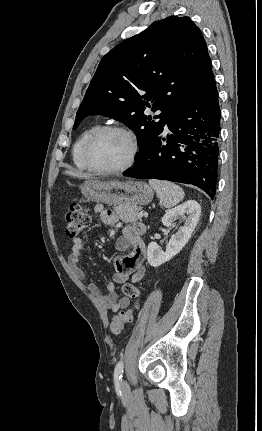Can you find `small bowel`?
I'll list each match as a JSON object with an SVG mask.
<instances>
[{"label": "small bowel", "mask_w": 262, "mask_h": 431, "mask_svg": "<svg viewBox=\"0 0 262 431\" xmlns=\"http://www.w3.org/2000/svg\"><path fill=\"white\" fill-rule=\"evenodd\" d=\"M95 212L100 214L103 224L112 226L118 222L117 215L112 211H104L101 205L95 207ZM145 225L141 222H131L122 227V236L115 242V249L124 253L116 260V275L113 281L109 282L103 292L95 283H89V291L96 301L104 308L113 312L128 307L130 300L126 296L120 297L117 293V284H122L128 280L132 283L140 282L144 276V259L146 246L142 239ZM86 240L76 237L72 240V252L69 255V265L81 280L86 275L81 267V252L86 247Z\"/></svg>", "instance_id": "small-bowel-1"}]
</instances>
